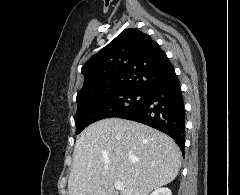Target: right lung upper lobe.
Returning <instances> with one entry per match:
<instances>
[{
  "mask_svg": "<svg viewBox=\"0 0 240 195\" xmlns=\"http://www.w3.org/2000/svg\"><path fill=\"white\" fill-rule=\"evenodd\" d=\"M85 76L77 100L124 89L147 91L174 68L160 46L137 29H125L82 67Z\"/></svg>",
  "mask_w": 240,
  "mask_h": 195,
  "instance_id": "right-lung-upper-lobe-1",
  "label": "right lung upper lobe"
}]
</instances>
